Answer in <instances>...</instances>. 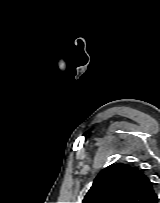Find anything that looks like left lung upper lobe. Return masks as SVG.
Instances as JSON below:
<instances>
[{
    "label": "left lung upper lobe",
    "instance_id": "obj_1",
    "mask_svg": "<svg viewBox=\"0 0 160 203\" xmlns=\"http://www.w3.org/2000/svg\"><path fill=\"white\" fill-rule=\"evenodd\" d=\"M154 183L138 168L118 163L95 178L82 203H159Z\"/></svg>",
    "mask_w": 160,
    "mask_h": 203
}]
</instances>
